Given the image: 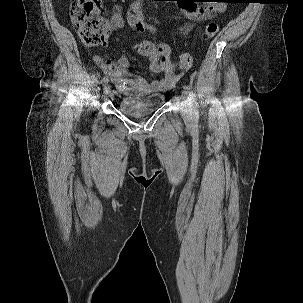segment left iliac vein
I'll return each instance as SVG.
<instances>
[{
  "instance_id": "4c4485c4",
  "label": "left iliac vein",
  "mask_w": 303,
  "mask_h": 303,
  "mask_svg": "<svg viewBox=\"0 0 303 303\" xmlns=\"http://www.w3.org/2000/svg\"><path fill=\"white\" fill-rule=\"evenodd\" d=\"M182 113L186 119H189L192 115V105L185 92L182 94Z\"/></svg>"
}]
</instances>
